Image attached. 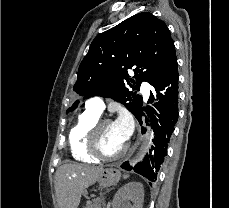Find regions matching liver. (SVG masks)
<instances>
[{
	"mask_svg": "<svg viewBox=\"0 0 229 208\" xmlns=\"http://www.w3.org/2000/svg\"><path fill=\"white\" fill-rule=\"evenodd\" d=\"M102 166L87 164H63L56 172V198L59 208H78L81 194L97 182Z\"/></svg>",
	"mask_w": 229,
	"mask_h": 208,
	"instance_id": "6515ba94",
	"label": "liver"
}]
</instances>
